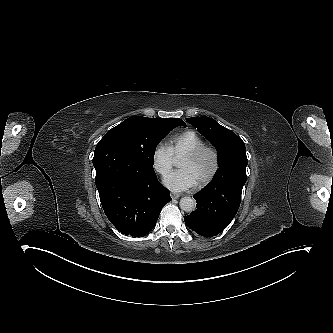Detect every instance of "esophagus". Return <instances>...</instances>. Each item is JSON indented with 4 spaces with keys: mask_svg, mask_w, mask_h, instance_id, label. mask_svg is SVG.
Wrapping results in <instances>:
<instances>
[{
    "mask_svg": "<svg viewBox=\"0 0 333 333\" xmlns=\"http://www.w3.org/2000/svg\"><path fill=\"white\" fill-rule=\"evenodd\" d=\"M180 197V195L179 194H177V193H171V198L172 199H178Z\"/></svg>",
    "mask_w": 333,
    "mask_h": 333,
    "instance_id": "obj_1",
    "label": "esophagus"
}]
</instances>
